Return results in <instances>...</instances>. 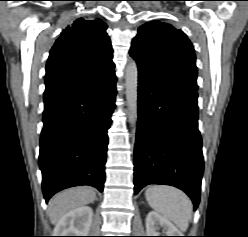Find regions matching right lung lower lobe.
Segmentation results:
<instances>
[{
  "mask_svg": "<svg viewBox=\"0 0 248 237\" xmlns=\"http://www.w3.org/2000/svg\"><path fill=\"white\" fill-rule=\"evenodd\" d=\"M116 80L112 69L95 79L44 92L39 167L46 202L73 186L103 191Z\"/></svg>",
  "mask_w": 248,
  "mask_h": 237,
  "instance_id": "obj_1",
  "label": "right lung lower lobe"
}]
</instances>
